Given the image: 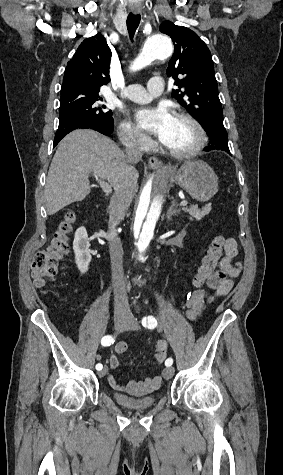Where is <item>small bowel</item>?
<instances>
[{
  "label": "small bowel",
  "mask_w": 283,
  "mask_h": 475,
  "mask_svg": "<svg viewBox=\"0 0 283 475\" xmlns=\"http://www.w3.org/2000/svg\"><path fill=\"white\" fill-rule=\"evenodd\" d=\"M225 242L228 244V249L225 251L224 256H222V270L213 275V283H207L206 291H193L186 299V317L191 322H196L206 310L207 306L212 302L213 295L209 293L208 289L214 290L216 295H227L233 288V279L240 275L241 264L235 262L239 252L238 244L233 238H227L225 239ZM126 348L127 346L124 343H120L116 346V354H111L109 357V367L111 369L115 370L119 367L117 354L124 353ZM107 379L111 387L115 389L120 388L114 375H108ZM160 382V376H152L145 380L144 384L154 387L159 385ZM136 387L137 383L135 381L129 384L130 391L135 390Z\"/></svg>",
  "instance_id": "1"
}]
</instances>
